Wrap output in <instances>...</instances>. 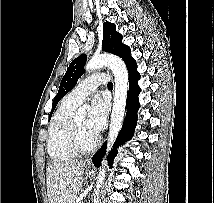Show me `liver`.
<instances>
[{"instance_id": "liver-1", "label": "liver", "mask_w": 214, "mask_h": 203, "mask_svg": "<svg viewBox=\"0 0 214 203\" xmlns=\"http://www.w3.org/2000/svg\"><path fill=\"white\" fill-rule=\"evenodd\" d=\"M85 163H53L47 168V194L49 203H68L81 189Z\"/></svg>"}]
</instances>
